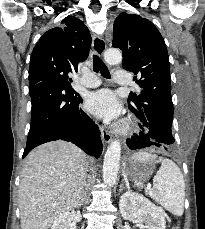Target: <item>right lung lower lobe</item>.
Masks as SVG:
<instances>
[{"label": "right lung lower lobe", "mask_w": 205, "mask_h": 229, "mask_svg": "<svg viewBox=\"0 0 205 229\" xmlns=\"http://www.w3.org/2000/svg\"><path fill=\"white\" fill-rule=\"evenodd\" d=\"M29 89L31 125L23 157L40 144L62 139L98 158L103 148L100 130L80 108L82 99L72 86L46 80Z\"/></svg>", "instance_id": "1"}]
</instances>
